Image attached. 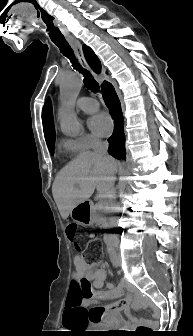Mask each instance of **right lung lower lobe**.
Here are the masks:
<instances>
[{
  "label": "right lung lower lobe",
  "instance_id": "right-lung-lower-lobe-1",
  "mask_svg": "<svg viewBox=\"0 0 193 336\" xmlns=\"http://www.w3.org/2000/svg\"><path fill=\"white\" fill-rule=\"evenodd\" d=\"M103 91V99L109 108V111L115 120V127L112 136L108 139L109 148L108 152L119 160H124L126 158L125 151V135L123 131V115L121 111V104L118 99V96L112 87V85L108 82H105L102 85Z\"/></svg>",
  "mask_w": 193,
  "mask_h": 336
}]
</instances>
